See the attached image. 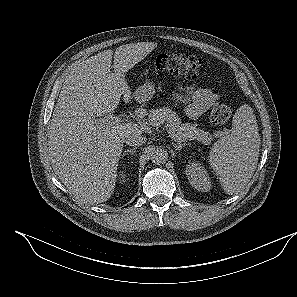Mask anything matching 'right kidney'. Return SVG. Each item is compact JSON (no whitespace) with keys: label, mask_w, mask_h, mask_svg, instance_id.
Listing matches in <instances>:
<instances>
[{"label":"right kidney","mask_w":297,"mask_h":297,"mask_svg":"<svg viewBox=\"0 0 297 297\" xmlns=\"http://www.w3.org/2000/svg\"><path fill=\"white\" fill-rule=\"evenodd\" d=\"M125 176H126L125 173L121 171L119 174L120 182H125V178H126Z\"/></svg>","instance_id":"1"}]
</instances>
